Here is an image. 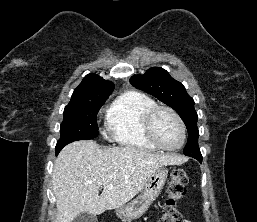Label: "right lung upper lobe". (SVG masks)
<instances>
[{"instance_id":"obj_1","label":"right lung upper lobe","mask_w":257,"mask_h":222,"mask_svg":"<svg viewBox=\"0 0 257 222\" xmlns=\"http://www.w3.org/2000/svg\"><path fill=\"white\" fill-rule=\"evenodd\" d=\"M115 86L112 82L90 73L84 77L80 85L74 90L71 101L91 98H108Z\"/></svg>"}]
</instances>
